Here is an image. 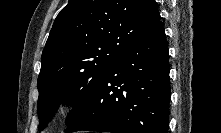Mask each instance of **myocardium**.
Segmentation results:
<instances>
[{
  "instance_id": "f54148a6",
  "label": "myocardium",
  "mask_w": 221,
  "mask_h": 133,
  "mask_svg": "<svg viewBox=\"0 0 221 133\" xmlns=\"http://www.w3.org/2000/svg\"><path fill=\"white\" fill-rule=\"evenodd\" d=\"M72 106V103L71 102H64L62 104V108L63 109H67V108H70Z\"/></svg>"
}]
</instances>
